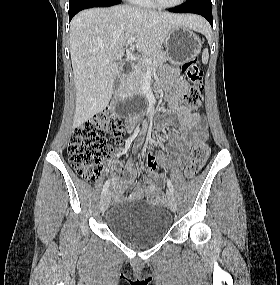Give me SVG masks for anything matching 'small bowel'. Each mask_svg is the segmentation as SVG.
Wrapping results in <instances>:
<instances>
[{
  "label": "small bowel",
  "instance_id": "small-bowel-1",
  "mask_svg": "<svg viewBox=\"0 0 280 285\" xmlns=\"http://www.w3.org/2000/svg\"><path fill=\"white\" fill-rule=\"evenodd\" d=\"M188 87L189 85L185 80L179 79L168 95L169 108L170 110L178 112V119L183 127V132L181 134L174 135L181 155L186 152L193 139L197 137H207L203 115L200 112L190 111L182 104V98ZM140 148L141 143L137 145V149ZM114 163L117 164L118 162L115 161ZM145 165L147 171L150 173V177H145V184H141L135 181L137 175L135 162H127L125 177L115 180V189L113 192L115 201L124 200V193L129 186L133 187V192L130 195V198L133 200L143 199L152 193H157L163 188L165 183L164 174L158 171V159L154 155L147 154L145 156Z\"/></svg>",
  "mask_w": 280,
  "mask_h": 285
}]
</instances>
